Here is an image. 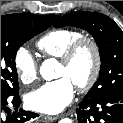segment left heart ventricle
Here are the masks:
<instances>
[{"instance_id": "obj_1", "label": "left heart ventricle", "mask_w": 123, "mask_h": 123, "mask_svg": "<svg viewBox=\"0 0 123 123\" xmlns=\"http://www.w3.org/2000/svg\"><path fill=\"white\" fill-rule=\"evenodd\" d=\"M93 54L84 47L70 66L58 65L56 77H67L74 85L84 82L93 68Z\"/></svg>"}]
</instances>
